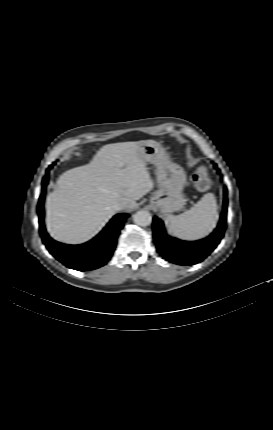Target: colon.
<instances>
[{
    "label": "colon",
    "instance_id": "colon-1",
    "mask_svg": "<svg viewBox=\"0 0 273 430\" xmlns=\"http://www.w3.org/2000/svg\"><path fill=\"white\" fill-rule=\"evenodd\" d=\"M193 182L201 192H206L211 188V179L206 168H199L193 175Z\"/></svg>",
    "mask_w": 273,
    "mask_h": 430
}]
</instances>
